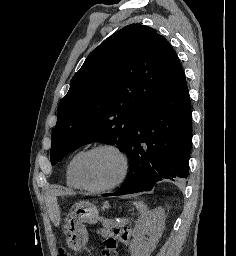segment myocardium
<instances>
[{"mask_svg":"<svg viewBox=\"0 0 236 256\" xmlns=\"http://www.w3.org/2000/svg\"><path fill=\"white\" fill-rule=\"evenodd\" d=\"M100 150H111V151H114L115 153H117L121 160L122 169H121V173H120L119 177L112 184L104 186V187H91L86 183V181L84 179L83 164H84L85 159L89 155L93 154L94 152L100 151ZM129 171H130L129 157H128L126 151L116 143H101V144L95 145V146L91 147L90 149L84 151V153L80 156V158L77 162V166H76V176H77L79 184L81 185V187L83 189H85L91 193H105V192L114 190L115 188L119 187L121 184L124 183V181L126 180L128 174H129Z\"/></svg>","mask_w":236,"mask_h":256,"instance_id":"f54148a6","label":"myocardium"}]
</instances>
